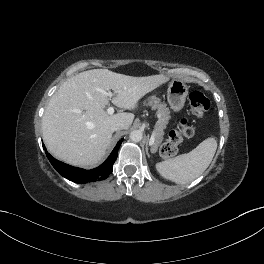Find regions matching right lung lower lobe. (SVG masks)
I'll list each match as a JSON object with an SVG mask.
<instances>
[{"label":"right lung lower lobe","instance_id":"right-lung-lower-lobe-1","mask_svg":"<svg viewBox=\"0 0 264 264\" xmlns=\"http://www.w3.org/2000/svg\"><path fill=\"white\" fill-rule=\"evenodd\" d=\"M123 139H121L116 147L113 149L112 153L108 157V159L99 167L92 169V170H84L81 168L73 167L68 164L62 163L55 158H53L47 151L46 155L53 167L60 173L63 177L67 178L68 180L84 184L87 182L92 181H100L106 179L109 174L113 171V164L117 158L118 149L122 143ZM43 145V144H42ZM44 150H46L45 146L43 145Z\"/></svg>","mask_w":264,"mask_h":264}]
</instances>
